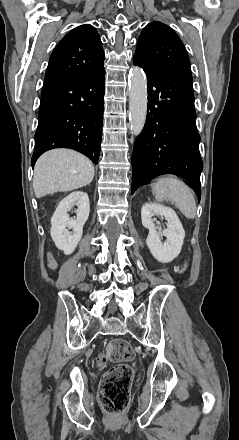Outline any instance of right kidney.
<instances>
[{
  "label": "right kidney",
  "mask_w": 239,
  "mask_h": 440,
  "mask_svg": "<svg viewBox=\"0 0 239 440\" xmlns=\"http://www.w3.org/2000/svg\"><path fill=\"white\" fill-rule=\"evenodd\" d=\"M74 206H77L75 220L69 218L68 214ZM89 212V198L85 192H72L67 198L61 200L51 218L50 234L53 242H56V246L61 248L63 253H70L72 248H76L79 244L83 234V226L89 218Z\"/></svg>",
  "instance_id": "ca27d5eb"
}]
</instances>
